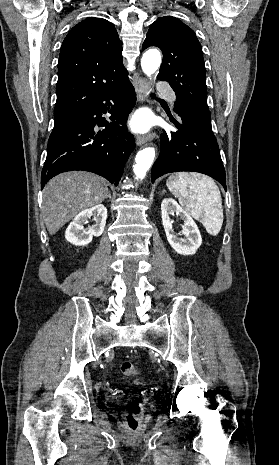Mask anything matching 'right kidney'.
Returning a JSON list of instances; mask_svg holds the SVG:
<instances>
[{
    "label": "right kidney",
    "instance_id": "right-kidney-1",
    "mask_svg": "<svg viewBox=\"0 0 279 465\" xmlns=\"http://www.w3.org/2000/svg\"><path fill=\"white\" fill-rule=\"evenodd\" d=\"M95 219V225L84 228L91 217ZM107 219V209L103 204L95 205L81 211L70 223L65 232V238L76 246H85L92 241L93 236L99 237L104 231Z\"/></svg>",
    "mask_w": 279,
    "mask_h": 465
}]
</instances>
